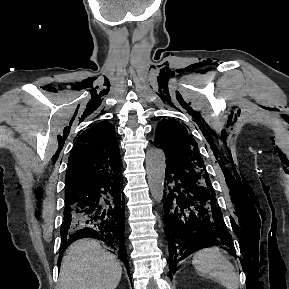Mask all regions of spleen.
Returning <instances> with one entry per match:
<instances>
[{"instance_id":"spleen-1","label":"spleen","mask_w":289,"mask_h":289,"mask_svg":"<svg viewBox=\"0 0 289 289\" xmlns=\"http://www.w3.org/2000/svg\"><path fill=\"white\" fill-rule=\"evenodd\" d=\"M192 264L198 274L210 278L226 289H238L239 278L224 251L214 246L196 252Z\"/></svg>"}]
</instances>
